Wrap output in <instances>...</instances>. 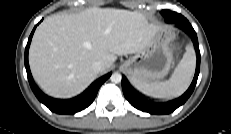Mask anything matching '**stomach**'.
Listing matches in <instances>:
<instances>
[{
  "mask_svg": "<svg viewBox=\"0 0 231 134\" xmlns=\"http://www.w3.org/2000/svg\"><path fill=\"white\" fill-rule=\"evenodd\" d=\"M174 38L172 28L161 27L140 52L122 63V70L131 80L152 83L162 79L173 63L170 43Z\"/></svg>",
  "mask_w": 231,
  "mask_h": 134,
  "instance_id": "0dacf381",
  "label": "stomach"
}]
</instances>
